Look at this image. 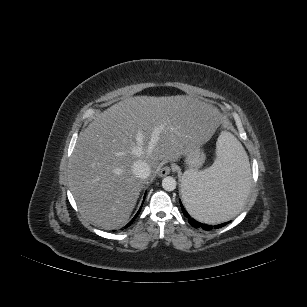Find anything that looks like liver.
Returning <instances> with one entry per match:
<instances>
[{
	"instance_id": "6515ba94",
	"label": "liver",
	"mask_w": 307,
	"mask_h": 307,
	"mask_svg": "<svg viewBox=\"0 0 307 307\" xmlns=\"http://www.w3.org/2000/svg\"><path fill=\"white\" fill-rule=\"evenodd\" d=\"M221 115L189 96H135L99 113L83 130L69 164V185L80 213L105 230L127 223L143 187L132 165L155 170L176 161L191 142L203 144Z\"/></svg>"
}]
</instances>
